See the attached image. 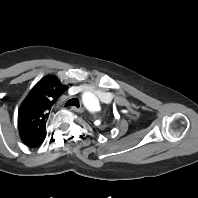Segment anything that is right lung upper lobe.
I'll use <instances>...</instances> for the list:
<instances>
[{"mask_svg":"<svg viewBox=\"0 0 198 198\" xmlns=\"http://www.w3.org/2000/svg\"><path fill=\"white\" fill-rule=\"evenodd\" d=\"M66 90L57 77L46 76L22 102L18 111V128L21 140L27 146L37 147L43 142L50 109Z\"/></svg>","mask_w":198,"mask_h":198,"instance_id":"right-lung-upper-lobe-1","label":"right lung upper lobe"}]
</instances>
